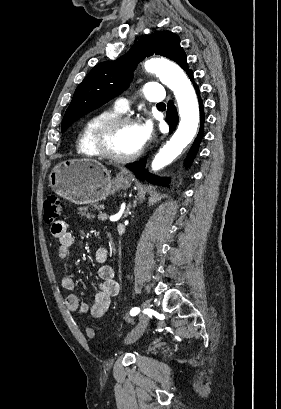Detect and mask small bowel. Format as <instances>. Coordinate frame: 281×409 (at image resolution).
Masks as SVG:
<instances>
[{
    "instance_id": "obj_1",
    "label": "small bowel",
    "mask_w": 281,
    "mask_h": 409,
    "mask_svg": "<svg viewBox=\"0 0 281 409\" xmlns=\"http://www.w3.org/2000/svg\"><path fill=\"white\" fill-rule=\"evenodd\" d=\"M51 234L57 240V258L66 261L70 257L71 247L74 242L72 233L64 221H55L51 225ZM109 249L105 244H99L94 251V259L99 264L96 268L98 282L96 283L95 297L91 303H81L76 295L66 297L65 304L69 312L84 314L89 312L92 317L100 318L108 310L111 299L119 293V283L115 279L114 268L107 264ZM61 287L64 290H73L74 278L69 273H64L60 278ZM87 332V330H86Z\"/></svg>"
}]
</instances>
